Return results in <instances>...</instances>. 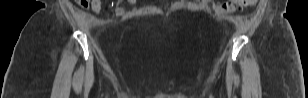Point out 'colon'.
Returning a JSON list of instances; mask_svg holds the SVG:
<instances>
[{
	"instance_id": "colon-1",
	"label": "colon",
	"mask_w": 308,
	"mask_h": 98,
	"mask_svg": "<svg viewBox=\"0 0 308 98\" xmlns=\"http://www.w3.org/2000/svg\"><path fill=\"white\" fill-rule=\"evenodd\" d=\"M77 2L81 6H85L89 2V0H78ZM254 2V0H230L223 3L213 4V9L217 13H233L239 7L251 5Z\"/></svg>"
}]
</instances>
